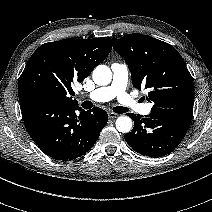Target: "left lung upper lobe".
<instances>
[{"mask_svg": "<svg viewBox=\"0 0 212 212\" xmlns=\"http://www.w3.org/2000/svg\"><path fill=\"white\" fill-rule=\"evenodd\" d=\"M112 41L129 67L133 85L150 91L147 100L153 108H193V79L172 45L138 33Z\"/></svg>", "mask_w": 212, "mask_h": 212, "instance_id": "obj_1", "label": "left lung upper lobe"}]
</instances>
